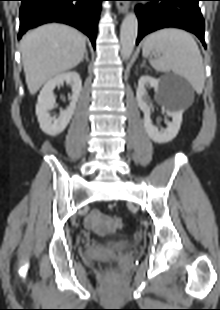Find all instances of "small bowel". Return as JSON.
<instances>
[{
  "mask_svg": "<svg viewBox=\"0 0 220 310\" xmlns=\"http://www.w3.org/2000/svg\"><path fill=\"white\" fill-rule=\"evenodd\" d=\"M109 217L102 214L99 210H92L85 218L84 225L87 229L96 233L102 232L108 227Z\"/></svg>",
  "mask_w": 220,
  "mask_h": 310,
  "instance_id": "1",
  "label": "small bowel"
}]
</instances>
